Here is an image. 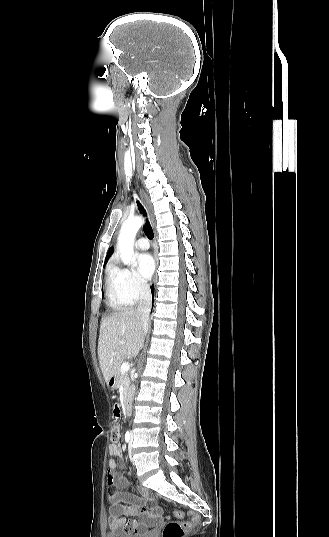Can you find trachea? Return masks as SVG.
I'll return each instance as SVG.
<instances>
[{
	"mask_svg": "<svg viewBox=\"0 0 329 537\" xmlns=\"http://www.w3.org/2000/svg\"><path fill=\"white\" fill-rule=\"evenodd\" d=\"M137 203H138V209L140 210V212H141L143 215L146 216L147 214H146V211H145L144 207L139 203V201H137ZM144 231H145V233H146V235H147V237H148L149 239H152V238H153V236H154V234H153V230H152V227H151V225H150V223H149L148 220H147L146 223H145Z\"/></svg>",
	"mask_w": 329,
	"mask_h": 537,
	"instance_id": "3493384b",
	"label": "trachea"
}]
</instances>
